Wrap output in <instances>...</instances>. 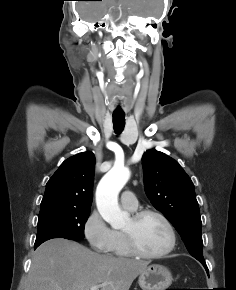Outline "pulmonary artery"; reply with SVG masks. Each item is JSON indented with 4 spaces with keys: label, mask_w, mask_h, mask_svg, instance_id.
Returning a JSON list of instances; mask_svg holds the SVG:
<instances>
[{
    "label": "pulmonary artery",
    "mask_w": 236,
    "mask_h": 290,
    "mask_svg": "<svg viewBox=\"0 0 236 290\" xmlns=\"http://www.w3.org/2000/svg\"><path fill=\"white\" fill-rule=\"evenodd\" d=\"M121 205L130 211H134L138 206L136 194L131 190H126L121 195Z\"/></svg>",
    "instance_id": "obj_1"
}]
</instances>
